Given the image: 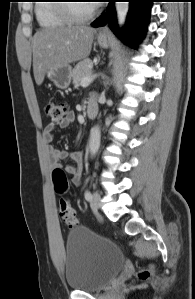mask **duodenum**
<instances>
[{
	"label": "duodenum",
	"mask_w": 195,
	"mask_h": 299,
	"mask_svg": "<svg viewBox=\"0 0 195 299\" xmlns=\"http://www.w3.org/2000/svg\"><path fill=\"white\" fill-rule=\"evenodd\" d=\"M97 104L94 102H89L86 107V116L88 119H94L97 115Z\"/></svg>",
	"instance_id": "duodenum-1"
}]
</instances>
